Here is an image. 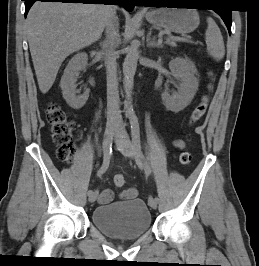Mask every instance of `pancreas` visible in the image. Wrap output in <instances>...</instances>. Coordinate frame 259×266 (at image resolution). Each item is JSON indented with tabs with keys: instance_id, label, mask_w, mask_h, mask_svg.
I'll use <instances>...</instances> for the list:
<instances>
[{
	"instance_id": "cf45deb5",
	"label": "pancreas",
	"mask_w": 259,
	"mask_h": 266,
	"mask_svg": "<svg viewBox=\"0 0 259 266\" xmlns=\"http://www.w3.org/2000/svg\"><path fill=\"white\" fill-rule=\"evenodd\" d=\"M166 44H168V45H170V46H172V47H175L176 46V43H175V41H171V40H166Z\"/></svg>"
}]
</instances>
